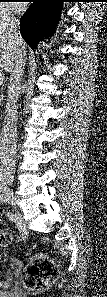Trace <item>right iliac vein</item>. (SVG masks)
<instances>
[{"label": "right iliac vein", "mask_w": 107, "mask_h": 297, "mask_svg": "<svg viewBox=\"0 0 107 297\" xmlns=\"http://www.w3.org/2000/svg\"><path fill=\"white\" fill-rule=\"evenodd\" d=\"M6 201L8 203H10L14 208H16V199L15 197L11 194V193H8L6 195ZM18 214V213H17ZM23 235V234H22Z\"/></svg>", "instance_id": "right-iliac-vein-1"}]
</instances>
